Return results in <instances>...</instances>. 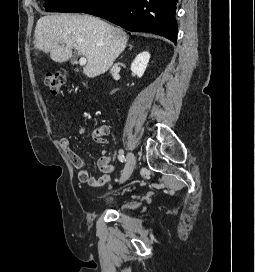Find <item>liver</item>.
Listing matches in <instances>:
<instances>
[{
	"label": "liver",
	"mask_w": 255,
	"mask_h": 272,
	"mask_svg": "<svg viewBox=\"0 0 255 272\" xmlns=\"http://www.w3.org/2000/svg\"><path fill=\"white\" fill-rule=\"evenodd\" d=\"M34 44L58 63L68 61L76 49L88 61L84 74L94 78L105 73L124 51L127 34L91 15H46L36 24Z\"/></svg>",
	"instance_id": "obj_1"
}]
</instances>
